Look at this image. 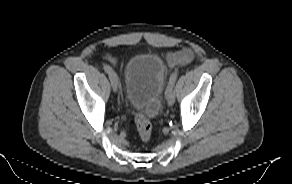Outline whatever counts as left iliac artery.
Here are the masks:
<instances>
[{
	"mask_svg": "<svg viewBox=\"0 0 292 184\" xmlns=\"http://www.w3.org/2000/svg\"><path fill=\"white\" fill-rule=\"evenodd\" d=\"M177 77H178L177 72L171 74L165 94H167L168 91L174 87Z\"/></svg>",
	"mask_w": 292,
	"mask_h": 184,
	"instance_id": "44dca946",
	"label": "left iliac artery"
}]
</instances>
